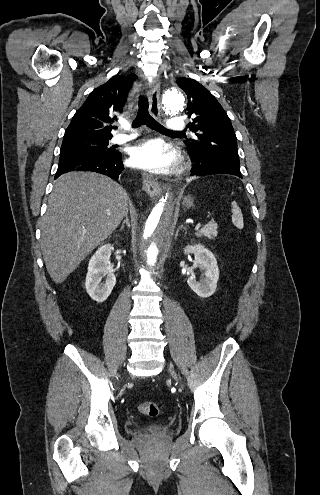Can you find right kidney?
Returning <instances> with one entry per match:
<instances>
[{
    "label": "right kidney",
    "instance_id": "ca27d5eb",
    "mask_svg": "<svg viewBox=\"0 0 320 495\" xmlns=\"http://www.w3.org/2000/svg\"><path fill=\"white\" fill-rule=\"evenodd\" d=\"M113 247L110 244L102 245L91 257L88 264L85 287L89 296L96 302H104L111 294L116 284L115 275L109 271V259ZM105 277V282L102 278Z\"/></svg>",
    "mask_w": 320,
    "mask_h": 495
}]
</instances>
